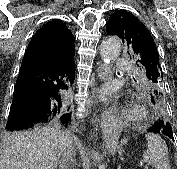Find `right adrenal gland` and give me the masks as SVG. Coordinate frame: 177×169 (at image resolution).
<instances>
[{
    "label": "right adrenal gland",
    "instance_id": "right-adrenal-gland-1",
    "mask_svg": "<svg viewBox=\"0 0 177 169\" xmlns=\"http://www.w3.org/2000/svg\"><path fill=\"white\" fill-rule=\"evenodd\" d=\"M59 169H63L61 162L59 161ZM67 169V168H66Z\"/></svg>",
    "mask_w": 177,
    "mask_h": 169
}]
</instances>
